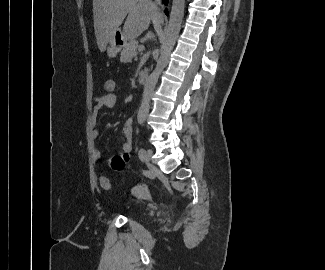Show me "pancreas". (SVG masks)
<instances>
[{"label": "pancreas", "mask_w": 325, "mask_h": 270, "mask_svg": "<svg viewBox=\"0 0 325 270\" xmlns=\"http://www.w3.org/2000/svg\"><path fill=\"white\" fill-rule=\"evenodd\" d=\"M138 42L131 40L124 44V48L121 52L120 60L121 62L128 63L137 54Z\"/></svg>", "instance_id": "pancreas-1"}]
</instances>
